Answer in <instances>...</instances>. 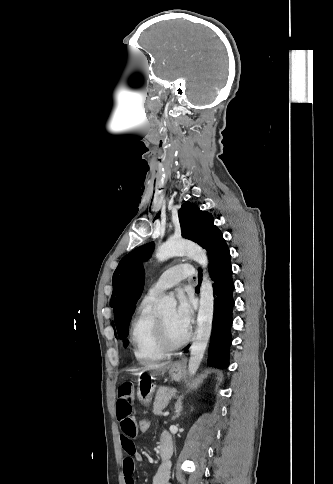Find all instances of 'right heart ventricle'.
<instances>
[{"label":"right heart ventricle","mask_w":333,"mask_h":484,"mask_svg":"<svg viewBox=\"0 0 333 484\" xmlns=\"http://www.w3.org/2000/svg\"><path fill=\"white\" fill-rule=\"evenodd\" d=\"M155 297L145 296L139 304L131 322L130 338L134 355L142 364L161 360L165 351L156 337V314L153 310Z\"/></svg>","instance_id":"e07e8e85"}]
</instances>
